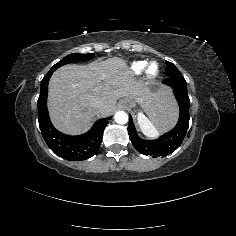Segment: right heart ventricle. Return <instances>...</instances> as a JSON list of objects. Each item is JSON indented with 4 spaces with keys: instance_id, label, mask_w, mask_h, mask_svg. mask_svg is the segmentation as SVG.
<instances>
[{
    "instance_id": "obj_1",
    "label": "right heart ventricle",
    "mask_w": 236,
    "mask_h": 236,
    "mask_svg": "<svg viewBox=\"0 0 236 236\" xmlns=\"http://www.w3.org/2000/svg\"><path fill=\"white\" fill-rule=\"evenodd\" d=\"M146 64V61H135L131 64L129 72L132 75H140L144 71Z\"/></svg>"
}]
</instances>
